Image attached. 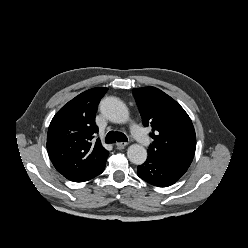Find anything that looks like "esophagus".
<instances>
[{
	"instance_id": "1",
	"label": "esophagus",
	"mask_w": 248,
	"mask_h": 248,
	"mask_svg": "<svg viewBox=\"0 0 248 248\" xmlns=\"http://www.w3.org/2000/svg\"><path fill=\"white\" fill-rule=\"evenodd\" d=\"M127 145H128L127 142H117V143H116L117 149H123V148L126 147Z\"/></svg>"
}]
</instances>
